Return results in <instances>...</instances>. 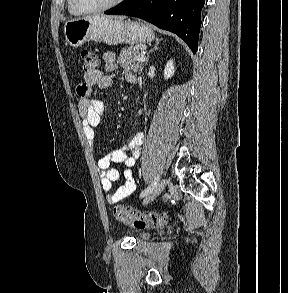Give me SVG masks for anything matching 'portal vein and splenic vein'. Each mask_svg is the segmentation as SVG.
Returning <instances> with one entry per match:
<instances>
[{"instance_id":"1","label":"portal vein and splenic vein","mask_w":288,"mask_h":293,"mask_svg":"<svg viewBox=\"0 0 288 293\" xmlns=\"http://www.w3.org/2000/svg\"><path fill=\"white\" fill-rule=\"evenodd\" d=\"M137 60L139 62H144L145 61V55H144V53H141V55H138L137 56Z\"/></svg>"}]
</instances>
